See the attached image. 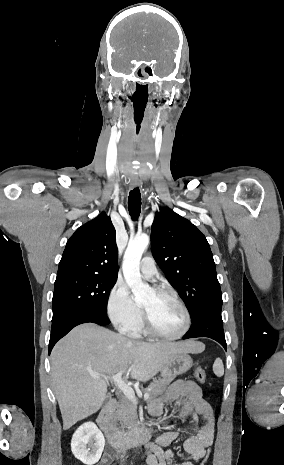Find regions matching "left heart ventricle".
I'll use <instances>...</instances> for the list:
<instances>
[{
    "instance_id": "b2bd125f",
    "label": "left heart ventricle",
    "mask_w": 284,
    "mask_h": 465,
    "mask_svg": "<svg viewBox=\"0 0 284 465\" xmlns=\"http://www.w3.org/2000/svg\"><path fill=\"white\" fill-rule=\"evenodd\" d=\"M140 306L151 317V326L157 334L170 337L183 330V312L173 301L153 292Z\"/></svg>"
}]
</instances>
